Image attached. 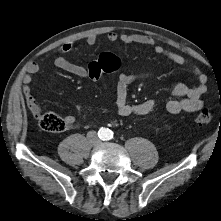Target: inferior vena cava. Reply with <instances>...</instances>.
<instances>
[{
	"instance_id": "1",
	"label": "inferior vena cava",
	"mask_w": 221,
	"mask_h": 221,
	"mask_svg": "<svg viewBox=\"0 0 221 221\" xmlns=\"http://www.w3.org/2000/svg\"><path fill=\"white\" fill-rule=\"evenodd\" d=\"M88 138L93 144H97L99 142V138L96 136L95 132H89Z\"/></svg>"
}]
</instances>
